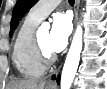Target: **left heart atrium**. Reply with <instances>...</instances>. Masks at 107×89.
<instances>
[{
  "label": "left heart atrium",
  "instance_id": "obj_1",
  "mask_svg": "<svg viewBox=\"0 0 107 89\" xmlns=\"http://www.w3.org/2000/svg\"><path fill=\"white\" fill-rule=\"evenodd\" d=\"M71 30V20L67 14L59 13L54 16L48 42L51 52L57 53L64 50Z\"/></svg>",
  "mask_w": 107,
  "mask_h": 89
}]
</instances>
